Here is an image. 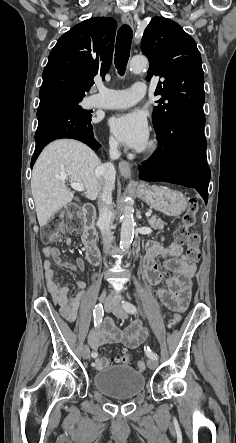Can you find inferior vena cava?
I'll list each match as a JSON object with an SVG mask.
<instances>
[{"label": "inferior vena cava", "mask_w": 236, "mask_h": 443, "mask_svg": "<svg viewBox=\"0 0 236 443\" xmlns=\"http://www.w3.org/2000/svg\"><path fill=\"white\" fill-rule=\"evenodd\" d=\"M110 158L116 160L120 157L118 142L111 138L109 140ZM97 173L101 178V190L98 196L99 220L98 225L101 231L104 247L108 250L112 243L111 225L114 217L112 190L114 188L116 170L112 162H107L98 167ZM107 303H115L112 296L107 297Z\"/></svg>", "instance_id": "602c4592"}]
</instances>
